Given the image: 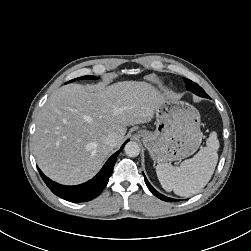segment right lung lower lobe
Instances as JSON below:
<instances>
[{"label":"right lung lower lobe","mask_w":251,"mask_h":251,"mask_svg":"<svg viewBox=\"0 0 251 251\" xmlns=\"http://www.w3.org/2000/svg\"><path fill=\"white\" fill-rule=\"evenodd\" d=\"M128 141L129 140H127L122 147L108 159L103 168L94 178L80 185H60L50 180L38 167L37 168L43 181L55 195L70 202H86L96 198L103 191L112 174L117 156Z\"/></svg>","instance_id":"98d812e1"}]
</instances>
